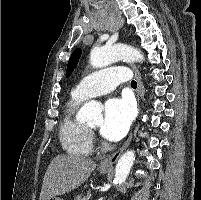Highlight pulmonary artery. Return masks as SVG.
Here are the masks:
<instances>
[{
	"mask_svg": "<svg viewBox=\"0 0 201 200\" xmlns=\"http://www.w3.org/2000/svg\"><path fill=\"white\" fill-rule=\"evenodd\" d=\"M130 78L131 75L125 67H110L84 77L73 89L72 94L83 99L103 95Z\"/></svg>",
	"mask_w": 201,
	"mask_h": 200,
	"instance_id": "e3ab8cb5",
	"label": "pulmonary artery"
}]
</instances>
